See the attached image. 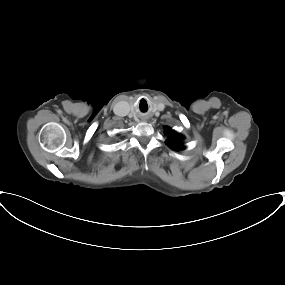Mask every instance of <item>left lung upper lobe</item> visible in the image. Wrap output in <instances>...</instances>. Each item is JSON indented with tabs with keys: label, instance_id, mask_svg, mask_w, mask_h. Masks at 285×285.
<instances>
[{
	"label": "left lung upper lobe",
	"instance_id": "obj_1",
	"mask_svg": "<svg viewBox=\"0 0 285 285\" xmlns=\"http://www.w3.org/2000/svg\"><path fill=\"white\" fill-rule=\"evenodd\" d=\"M164 134L168 136L166 144L171 149L179 151L185 148L182 142V140L184 139L183 135L176 133L174 130H172L170 127L167 126L165 127Z\"/></svg>",
	"mask_w": 285,
	"mask_h": 285
}]
</instances>
